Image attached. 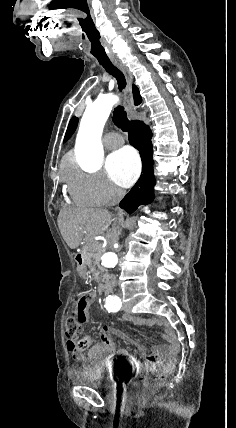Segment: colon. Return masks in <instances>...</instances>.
Returning a JSON list of instances; mask_svg holds the SVG:
<instances>
[{"label": "colon", "instance_id": "colon-1", "mask_svg": "<svg viewBox=\"0 0 236 428\" xmlns=\"http://www.w3.org/2000/svg\"><path fill=\"white\" fill-rule=\"evenodd\" d=\"M89 304V294L87 291H80L77 294L75 306L71 309L67 320L68 347L71 350L84 349L89 345L88 338L79 339L81 325L87 320V309ZM176 362L174 355L168 365L162 370L150 373L142 377L141 387L145 392L154 390L172 372Z\"/></svg>", "mask_w": 236, "mask_h": 428}]
</instances>
